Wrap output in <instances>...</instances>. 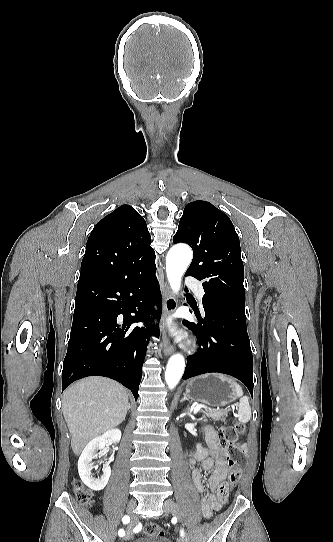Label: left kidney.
<instances>
[{"label":"left kidney","mask_w":333,"mask_h":542,"mask_svg":"<svg viewBox=\"0 0 333 542\" xmlns=\"http://www.w3.org/2000/svg\"><path fill=\"white\" fill-rule=\"evenodd\" d=\"M196 448H201V444H197Z\"/></svg>","instance_id":"1"}]
</instances>
